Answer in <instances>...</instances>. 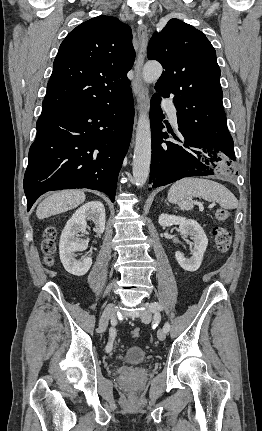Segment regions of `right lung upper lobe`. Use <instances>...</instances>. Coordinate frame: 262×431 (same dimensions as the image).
<instances>
[{"label": "right lung upper lobe", "instance_id": "cb5924a9", "mask_svg": "<svg viewBox=\"0 0 262 431\" xmlns=\"http://www.w3.org/2000/svg\"><path fill=\"white\" fill-rule=\"evenodd\" d=\"M135 60L128 25L111 16L73 29L59 47L42 111L104 107L131 90L127 72Z\"/></svg>", "mask_w": 262, "mask_h": 431}]
</instances>
